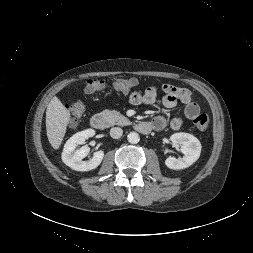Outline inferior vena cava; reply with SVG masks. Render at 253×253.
<instances>
[{
  "label": "inferior vena cava",
  "mask_w": 253,
  "mask_h": 253,
  "mask_svg": "<svg viewBox=\"0 0 253 253\" xmlns=\"http://www.w3.org/2000/svg\"><path fill=\"white\" fill-rule=\"evenodd\" d=\"M123 130L120 127H113L110 129V136L114 139H118L122 136Z\"/></svg>",
  "instance_id": "1"
}]
</instances>
